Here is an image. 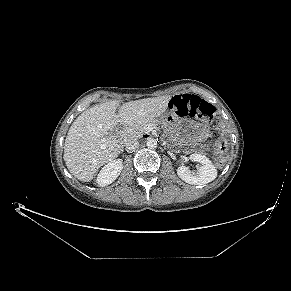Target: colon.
<instances>
[{
    "mask_svg": "<svg viewBox=\"0 0 291 291\" xmlns=\"http://www.w3.org/2000/svg\"><path fill=\"white\" fill-rule=\"evenodd\" d=\"M169 108L179 116L202 117L209 120H214L218 116L217 109L198 96L177 95L170 101ZM227 149L225 140L219 139L215 142V163L218 167L225 164Z\"/></svg>",
    "mask_w": 291,
    "mask_h": 291,
    "instance_id": "obj_1",
    "label": "colon"
}]
</instances>
